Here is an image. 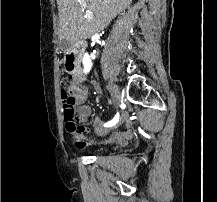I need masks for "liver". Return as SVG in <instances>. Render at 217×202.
Listing matches in <instances>:
<instances>
[{
    "mask_svg": "<svg viewBox=\"0 0 217 202\" xmlns=\"http://www.w3.org/2000/svg\"><path fill=\"white\" fill-rule=\"evenodd\" d=\"M132 0H57L62 40L81 42L107 28Z\"/></svg>",
    "mask_w": 217,
    "mask_h": 202,
    "instance_id": "liver-1",
    "label": "liver"
}]
</instances>
